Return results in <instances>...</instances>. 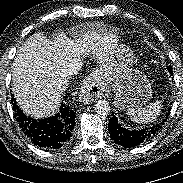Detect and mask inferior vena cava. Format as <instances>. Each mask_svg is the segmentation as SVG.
Returning a JSON list of instances; mask_svg holds the SVG:
<instances>
[{
	"label": "inferior vena cava",
	"instance_id": "602c4592",
	"mask_svg": "<svg viewBox=\"0 0 183 183\" xmlns=\"http://www.w3.org/2000/svg\"><path fill=\"white\" fill-rule=\"evenodd\" d=\"M81 66H82L81 60L73 58L65 64L64 73L67 76L76 75L81 70Z\"/></svg>",
	"mask_w": 183,
	"mask_h": 183
}]
</instances>
